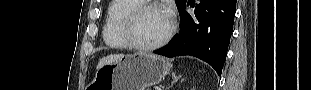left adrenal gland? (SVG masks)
<instances>
[{"label":"left adrenal gland","instance_id":"obj_1","mask_svg":"<svg viewBox=\"0 0 311 90\" xmlns=\"http://www.w3.org/2000/svg\"><path fill=\"white\" fill-rule=\"evenodd\" d=\"M180 78H181V76H178V77H177L175 74H172V79H173V81H172V83H171V86H169V88L172 87L173 84H175V82H177ZM167 89H168V88H167Z\"/></svg>","mask_w":311,"mask_h":90}]
</instances>
